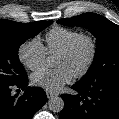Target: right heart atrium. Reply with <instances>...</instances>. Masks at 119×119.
<instances>
[{"mask_svg": "<svg viewBox=\"0 0 119 119\" xmlns=\"http://www.w3.org/2000/svg\"><path fill=\"white\" fill-rule=\"evenodd\" d=\"M46 57L47 50L38 37L24 41L18 48L19 61L32 71L42 68Z\"/></svg>", "mask_w": 119, "mask_h": 119, "instance_id": "d8ad5b80", "label": "right heart atrium"}]
</instances>
